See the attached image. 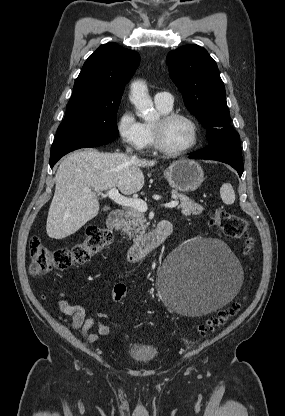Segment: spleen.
I'll list each match as a JSON object with an SVG mask.
<instances>
[{"mask_svg":"<svg viewBox=\"0 0 285 416\" xmlns=\"http://www.w3.org/2000/svg\"><path fill=\"white\" fill-rule=\"evenodd\" d=\"M220 196L224 204H234L235 202V192L231 184H223L220 188Z\"/></svg>","mask_w":285,"mask_h":416,"instance_id":"3e777b00","label":"spleen"}]
</instances>
